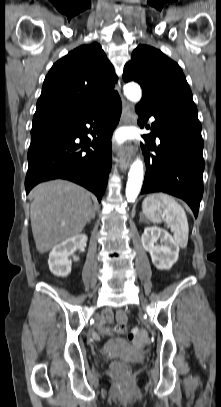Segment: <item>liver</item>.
Returning <instances> with one entry per match:
<instances>
[{
	"label": "liver",
	"mask_w": 221,
	"mask_h": 407,
	"mask_svg": "<svg viewBox=\"0 0 221 407\" xmlns=\"http://www.w3.org/2000/svg\"><path fill=\"white\" fill-rule=\"evenodd\" d=\"M29 197L32 233L41 254L80 234L92 219L90 193L72 182L58 179L40 183Z\"/></svg>",
	"instance_id": "obj_1"
}]
</instances>
